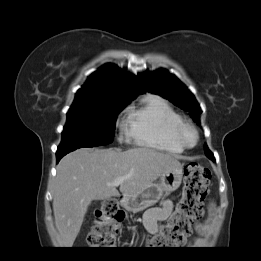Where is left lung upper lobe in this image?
Here are the masks:
<instances>
[{"label": "left lung upper lobe", "instance_id": "left-lung-upper-lobe-1", "mask_svg": "<svg viewBox=\"0 0 261 261\" xmlns=\"http://www.w3.org/2000/svg\"><path fill=\"white\" fill-rule=\"evenodd\" d=\"M138 80L148 92L159 94L181 109L190 112L193 120L199 124L197 114L202 112L199 104L194 95L174 75L160 69L155 73L139 74ZM204 151L209 159L215 161L214 155L206 146Z\"/></svg>", "mask_w": 261, "mask_h": 261}]
</instances>
